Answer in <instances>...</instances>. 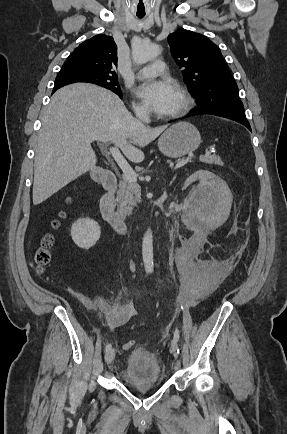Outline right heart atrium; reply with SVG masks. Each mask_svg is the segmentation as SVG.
<instances>
[{
	"instance_id": "1",
	"label": "right heart atrium",
	"mask_w": 287,
	"mask_h": 434,
	"mask_svg": "<svg viewBox=\"0 0 287 434\" xmlns=\"http://www.w3.org/2000/svg\"><path fill=\"white\" fill-rule=\"evenodd\" d=\"M133 108L138 114H146L148 112L146 105H144L143 103H134Z\"/></svg>"
}]
</instances>
